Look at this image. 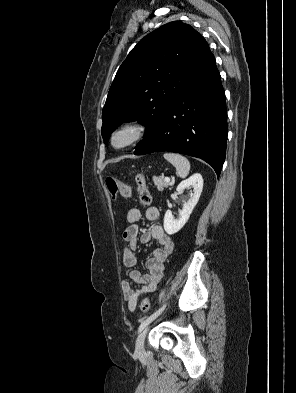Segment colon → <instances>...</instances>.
Segmentation results:
<instances>
[{
  "label": "colon",
  "mask_w": 296,
  "mask_h": 393,
  "mask_svg": "<svg viewBox=\"0 0 296 393\" xmlns=\"http://www.w3.org/2000/svg\"><path fill=\"white\" fill-rule=\"evenodd\" d=\"M136 183H137V190H138L140 204L142 206H147L150 203V194L144 176L138 174L136 176ZM106 185L113 196L120 195L121 197L127 200L130 199L132 196V190L130 185L121 182L115 179L114 177H107ZM140 309L145 314L149 312L150 302L147 298L142 300Z\"/></svg>",
  "instance_id": "colon-1"
}]
</instances>
